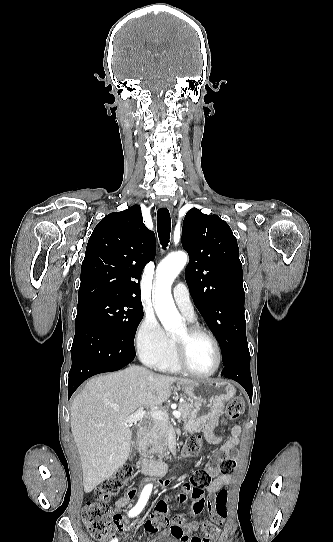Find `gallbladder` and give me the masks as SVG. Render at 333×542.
Wrapping results in <instances>:
<instances>
[{
    "instance_id": "1",
    "label": "gallbladder",
    "mask_w": 333,
    "mask_h": 542,
    "mask_svg": "<svg viewBox=\"0 0 333 542\" xmlns=\"http://www.w3.org/2000/svg\"><path fill=\"white\" fill-rule=\"evenodd\" d=\"M131 432H132V442H133L131 446V458H133V456H135L136 454L135 442L137 440L138 428H132Z\"/></svg>"
}]
</instances>
